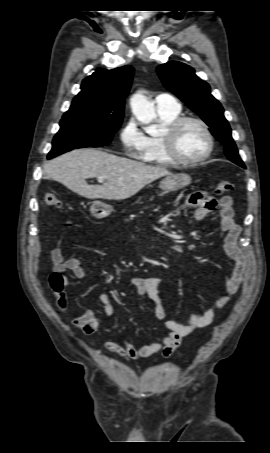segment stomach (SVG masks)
<instances>
[{
	"instance_id": "0dacf381",
	"label": "stomach",
	"mask_w": 270,
	"mask_h": 453,
	"mask_svg": "<svg viewBox=\"0 0 270 453\" xmlns=\"http://www.w3.org/2000/svg\"><path fill=\"white\" fill-rule=\"evenodd\" d=\"M190 184L191 177L188 174H170L161 181L160 188L166 192H171L177 191ZM112 211V206L101 201H94L90 207L91 214L98 219L109 216Z\"/></svg>"
}]
</instances>
